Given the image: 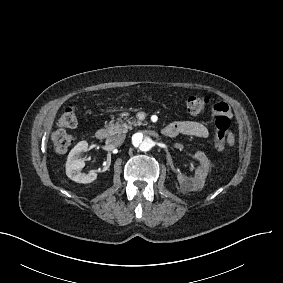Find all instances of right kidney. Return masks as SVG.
<instances>
[{"label": "right kidney", "mask_w": 283, "mask_h": 283, "mask_svg": "<svg viewBox=\"0 0 283 283\" xmlns=\"http://www.w3.org/2000/svg\"><path fill=\"white\" fill-rule=\"evenodd\" d=\"M88 151V144L86 141H81L75 145L70 153L68 154L66 163V174L67 176L82 184H90L97 179V173L91 170L89 173L81 172L85 166V162L82 160V154Z\"/></svg>", "instance_id": "right-kidney-1"}]
</instances>
